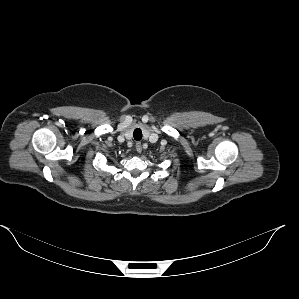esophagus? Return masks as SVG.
I'll list each match as a JSON object with an SVG mask.
<instances>
[{
	"label": "esophagus",
	"instance_id": "1",
	"mask_svg": "<svg viewBox=\"0 0 299 299\" xmlns=\"http://www.w3.org/2000/svg\"><path fill=\"white\" fill-rule=\"evenodd\" d=\"M136 151H137L138 153H141V151H142V146H141V143H140V142H137V143H136Z\"/></svg>",
	"mask_w": 299,
	"mask_h": 299
}]
</instances>
